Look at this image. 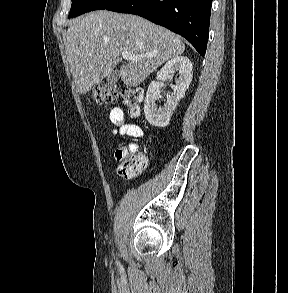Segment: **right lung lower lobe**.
<instances>
[{"mask_svg": "<svg viewBox=\"0 0 288 293\" xmlns=\"http://www.w3.org/2000/svg\"><path fill=\"white\" fill-rule=\"evenodd\" d=\"M212 0H119L107 10L144 17L186 38L201 56L209 37Z\"/></svg>", "mask_w": 288, "mask_h": 293, "instance_id": "98d812e1", "label": "right lung lower lobe"}]
</instances>
